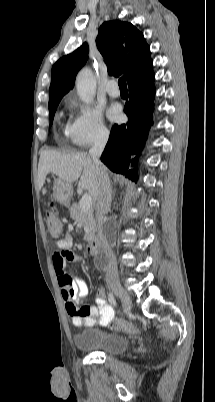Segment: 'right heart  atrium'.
<instances>
[{"mask_svg": "<svg viewBox=\"0 0 215 402\" xmlns=\"http://www.w3.org/2000/svg\"><path fill=\"white\" fill-rule=\"evenodd\" d=\"M66 131L72 143L81 148L101 143L108 137L101 111L89 105L77 106L76 116Z\"/></svg>", "mask_w": 215, "mask_h": 402, "instance_id": "1", "label": "right heart atrium"}]
</instances>
